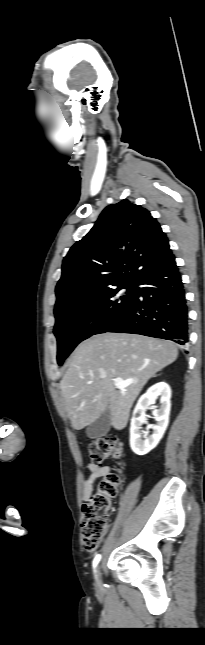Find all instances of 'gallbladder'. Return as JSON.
I'll return each mask as SVG.
<instances>
[{
  "label": "gallbladder",
  "mask_w": 205,
  "mask_h": 645,
  "mask_svg": "<svg viewBox=\"0 0 205 645\" xmlns=\"http://www.w3.org/2000/svg\"><path fill=\"white\" fill-rule=\"evenodd\" d=\"M110 424L111 413L109 408H107L98 419L88 426L86 434L91 439L105 436L110 429Z\"/></svg>",
  "instance_id": "1"
}]
</instances>
